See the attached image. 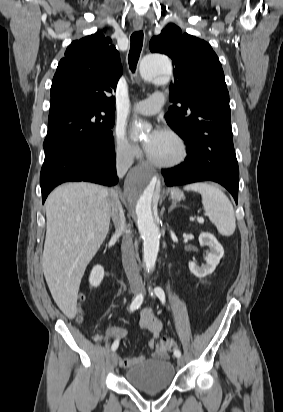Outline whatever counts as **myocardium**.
Wrapping results in <instances>:
<instances>
[{"instance_id": "f54148a6", "label": "myocardium", "mask_w": 283, "mask_h": 412, "mask_svg": "<svg viewBox=\"0 0 283 412\" xmlns=\"http://www.w3.org/2000/svg\"><path fill=\"white\" fill-rule=\"evenodd\" d=\"M163 132L170 135L178 143L179 149H180L178 157L170 162H160V161L153 159L147 151L146 158L152 165L159 167V168L169 169V168L177 167L181 165L187 159V156H188L187 143L184 140V138L178 132L174 131L173 129L166 128L163 130Z\"/></svg>"}]
</instances>
